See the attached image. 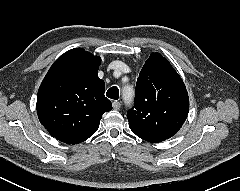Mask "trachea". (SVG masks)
<instances>
[{"label": "trachea", "mask_w": 240, "mask_h": 191, "mask_svg": "<svg viewBox=\"0 0 240 191\" xmlns=\"http://www.w3.org/2000/svg\"><path fill=\"white\" fill-rule=\"evenodd\" d=\"M106 96L110 99L117 100L119 98V90L116 86L111 87L108 89Z\"/></svg>", "instance_id": "3493384b"}]
</instances>
